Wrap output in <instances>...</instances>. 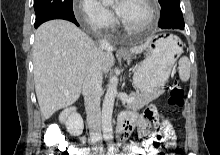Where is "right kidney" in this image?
<instances>
[{
	"mask_svg": "<svg viewBox=\"0 0 220 155\" xmlns=\"http://www.w3.org/2000/svg\"><path fill=\"white\" fill-rule=\"evenodd\" d=\"M67 130L70 134L78 136L82 134L84 129L83 119L78 113H73L66 122Z\"/></svg>",
	"mask_w": 220,
	"mask_h": 155,
	"instance_id": "1",
	"label": "right kidney"
}]
</instances>
